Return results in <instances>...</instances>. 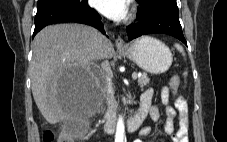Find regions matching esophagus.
<instances>
[{
	"mask_svg": "<svg viewBox=\"0 0 227 142\" xmlns=\"http://www.w3.org/2000/svg\"><path fill=\"white\" fill-rule=\"evenodd\" d=\"M115 46H116L117 49H124V48L127 47V44L121 37H118L115 40Z\"/></svg>",
	"mask_w": 227,
	"mask_h": 142,
	"instance_id": "esophagus-1",
	"label": "esophagus"
}]
</instances>
